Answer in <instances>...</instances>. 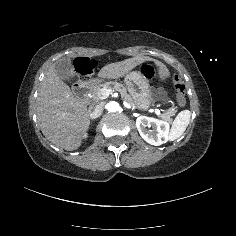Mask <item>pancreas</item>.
Wrapping results in <instances>:
<instances>
[{
	"label": "pancreas",
	"mask_w": 236,
	"mask_h": 236,
	"mask_svg": "<svg viewBox=\"0 0 236 236\" xmlns=\"http://www.w3.org/2000/svg\"><path fill=\"white\" fill-rule=\"evenodd\" d=\"M102 89H114L116 91H118L121 94V98L126 101L129 105H134L133 99L131 98V96L127 93L126 88L118 83V82H106L104 84H100L98 86H95L94 88L91 89V95L94 101H99L102 97L101 95V91ZM176 113L175 110H167L164 113H162L160 115V117L165 120L168 121L169 123L172 122V116H174Z\"/></svg>",
	"instance_id": "cf45deb5"
}]
</instances>
